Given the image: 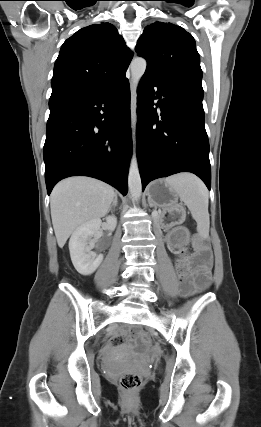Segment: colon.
Returning a JSON list of instances; mask_svg holds the SVG:
<instances>
[{
  "label": "colon",
  "mask_w": 261,
  "mask_h": 427,
  "mask_svg": "<svg viewBox=\"0 0 261 427\" xmlns=\"http://www.w3.org/2000/svg\"><path fill=\"white\" fill-rule=\"evenodd\" d=\"M134 334L141 345L146 346L148 344V339L144 334L140 332H135ZM119 384L125 393L133 394L140 388L142 377L137 373H127L120 378Z\"/></svg>",
  "instance_id": "obj_1"
}]
</instances>
